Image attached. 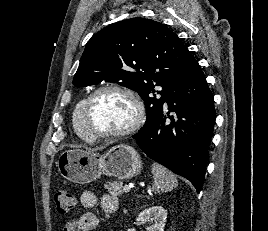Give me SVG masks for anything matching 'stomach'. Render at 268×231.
<instances>
[{"label": "stomach", "mask_w": 268, "mask_h": 231, "mask_svg": "<svg viewBox=\"0 0 268 231\" xmlns=\"http://www.w3.org/2000/svg\"><path fill=\"white\" fill-rule=\"evenodd\" d=\"M56 166L63 178L77 184L90 183L102 174L119 180L130 179L142 170L139 154L125 144L116 145L104 154L81 149L67 150L60 154Z\"/></svg>", "instance_id": "stomach-1"}]
</instances>
